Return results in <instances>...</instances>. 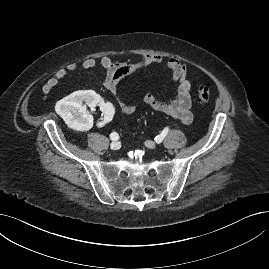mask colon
I'll return each mask as SVG.
<instances>
[{
    "mask_svg": "<svg viewBox=\"0 0 269 269\" xmlns=\"http://www.w3.org/2000/svg\"><path fill=\"white\" fill-rule=\"evenodd\" d=\"M126 73L122 74L125 75ZM197 99L200 103H206L210 100L211 90L209 87L205 85H198L197 86Z\"/></svg>",
    "mask_w": 269,
    "mask_h": 269,
    "instance_id": "obj_1",
    "label": "colon"
}]
</instances>
